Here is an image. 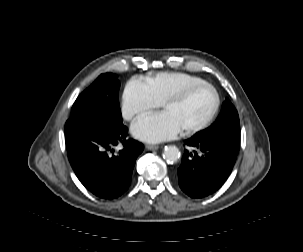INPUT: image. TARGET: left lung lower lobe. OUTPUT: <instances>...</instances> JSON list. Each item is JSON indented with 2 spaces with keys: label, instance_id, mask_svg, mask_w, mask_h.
<instances>
[{
  "label": "left lung lower lobe",
  "instance_id": "0a47b994",
  "mask_svg": "<svg viewBox=\"0 0 303 252\" xmlns=\"http://www.w3.org/2000/svg\"><path fill=\"white\" fill-rule=\"evenodd\" d=\"M186 144L194 147L193 153L185 150L178 169L180 188L193 198L207 196L219 189L229 176L239 145L209 141L192 137Z\"/></svg>",
  "mask_w": 303,
  "mask_h": 252
}]
</instances>
